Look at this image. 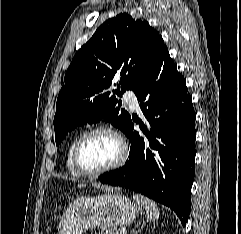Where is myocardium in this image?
I'll return each instance as SVG.
<instances>
[{"label": "myocardium", "mask_w": 241, "mask_h": 234, "mask_svg": "<svg viewBox=\"0 0 241 234\" xmlns=\"http://www.w3.org/2000/svg\"><path fill=\"white\" fill-rule=\"evenodd\" d=\"M98 133H108L110 135H112L114 138H116V140L118 141L119 145H120V153L118 158L116 159L115 162H113L112 164L103 167L101 169H97V170H88L86 168H84V166L81 163V149L84 145V143L93 135L98 134ZM128 156V145L127 142L125 141L124 137L115 129L109 127V126H97L94 127L86 132H84L79 139L77 140L74 150H73V163L74 166L76 168V170L83 176H87V177H96L105 173H108L110 171H113L117 168H119L120 166H122Z\"/></svg>", "instance_id": "f54148a6"}]
</instances>
